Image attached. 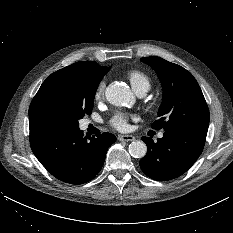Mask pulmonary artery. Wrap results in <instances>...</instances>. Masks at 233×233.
I'll list each match as a JSON object with an SVG mask.
<instances>
[{"label": "pulmonary artery", "instance_id": "e3ab8cb5", "mask_svg": "<svg viewBox=\"0 0 233 233\" xmlns=\"http://www.w3.org/2000/svg\"><path fill=\"white\" fill-rule=\"evenodd\" d=\"M147 91H148V89L143 88V89H139V90H137L135 92L139 97H143L146 94ZM159 137L162 138L163 134L162 133L159 134Z\"/></svg>", "mask_w": 233, "mask_h": 233}]
</instances>
